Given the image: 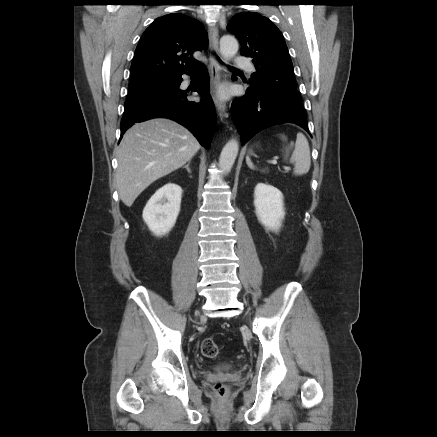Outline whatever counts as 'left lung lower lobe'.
<instances>
[{
	"mask_svg": "<svg viewBox=\"0 0 437 437\" xmlns=\"http://www.w3.org/2000/svg\"><path fill=\"white\" fill-rule=\"evenodd\" d=\"M231 112L242 145L260 130L285 122L295 123L309 132L300 100L267 89L250 86L247 95L232 104Z\"/></svg>",
	"mask_w": 437,
	"mask_h": 437,
	"instance_id": "left-lung-lower-lobe-1",
	"label": "left lung lower lobe"
}]
</instances>
